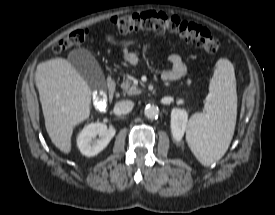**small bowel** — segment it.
Masks as SVG:
<instances>
[{"instance_id": "c3829d8e", "label": "small bowel", "mask_w": 275, "mask_h": 215, "mask_svg": "<svg viewBox=\"0 0 275 215\" xmlns=\"http://www.w3.org/2000/svg\"><path fill=\"white\" fill-rule=\"evenodd\" d=\"M109 42H111L116 47V49L119 51L120 55L126 62L130 64H135L138 62V56L131 50V41L119 40L111 37L109 38ZM169 62L171 64V68L163 72V80H178L186 75V66L182 58L178 54L170 55Z\"/></svg>"}]
</instances>
